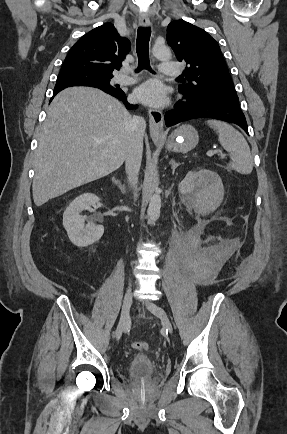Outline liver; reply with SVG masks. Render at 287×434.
Wrapping results in <instances>:
<instances>
[{
    "mask_svg": "<svg viewBox=\"0 0 287 434\" xmlns=\"http://www.w3.org/2000/svg\"><path fill=\"white\" fill-rule=\"evenodd\" d=\"M131 120L124 105L101 90L71 87L58 93L38 137L35 205L117 170L131 142Z\"/></svg>",
    "mask_w": 287,
    "mask_h": 434,
    "instance_id": "6515ba94",
    "label": "liver"
}]
</instances>
